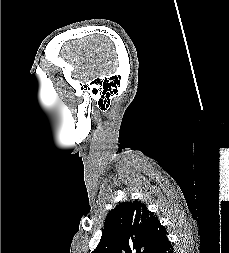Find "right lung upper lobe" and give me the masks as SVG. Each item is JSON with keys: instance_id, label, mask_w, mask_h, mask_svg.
<instances>
[{"instance_id": "right-lung-upper-lobe-1", "label": "right lung upper lobe", "mask_w": 229, "mask_h": 253, "mask_svg": "<svg viewBox=\"0 0 229 253\" xmlns=\"http://www.w3.org/2000/svg\"><path fill=\"white\" fill-rule=\"evenodd\" d=\"M167 240L166 229L143 203L122 202L107 214L92 253H155Z\"/></svg>"}]
</instances>
